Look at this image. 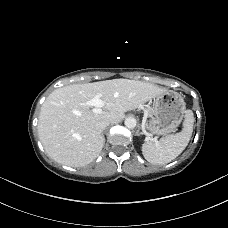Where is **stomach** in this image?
Listing matches in <instances>:
<instances>
[{
  "label": "stomach",
  "mask_w": 228,
  "mask_h": 228,
  "mask_svg": "<svg viewBox=\"0 0 228 228\" xmlns=\"http://www.w3.org/2000/svg\"><path fill=\"white\" fill-rule=\"evenodd\" d=\"M186 104L181 95L166 90L154 98L155 116L148 123V130L155 135H168L177 130L185 116Z\"/></svg>",
  "instance_id": "stomach-1"
}]
</instances>
